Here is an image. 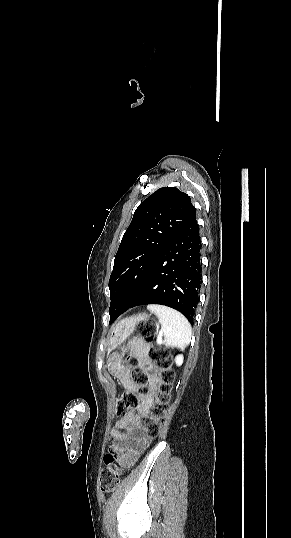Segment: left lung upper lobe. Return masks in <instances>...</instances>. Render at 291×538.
<instances>
[{
	"instance_id": "5c2ea615",
	"label": "left lung upper lobe",
	"mask_w": 291,
	"mask_h": 538,
	"mask_svg": "<svg viewBox=\"0 0 291 538\" xmlns=\"http://www.w3.org/2000/svg\"><path fill=\"white\" fill-rule=\"evenodd\" d=\"M195 213L190 197L175 187L158 189L137 207L115 256L108 285L110 315L132 302L160 255Z\"/></svg>"
}]
</instances>
